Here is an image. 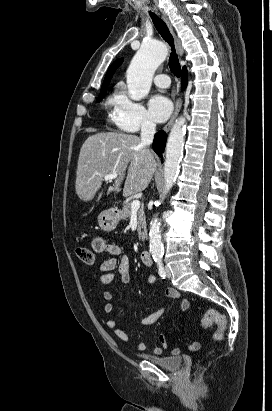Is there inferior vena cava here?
Returning <instances> with one entry per match:
<instances>
[{
    "label": "inferior vena cava",
    "mask_w": 272,
    "mask_h": 411,
    "mask_svg": "<svg viewBox=\"0 0 272 411\" xmlns=\"http://www.w3.org/2000/svg\"><path fill=\"white\" fill-rule=\"evenodd\" d=\"M156 132V124L148 119L143 120L141 124V145L149 146L153 142Z\"/></svg>",
    "instance_id": "inferior-vena-cava-1"
}]
</instances>
